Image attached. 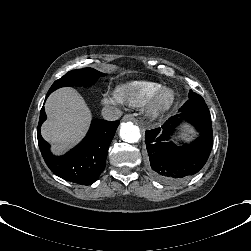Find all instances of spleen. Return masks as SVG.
Returning <instances> with one entry per match:
<instances>
[{
  "label": "spleen",
  "instance_id": "1",
  "mask_svg": "<svg viewBox=\"0 0 251 251\" xmlns=\"http://www.w3.org/2000/svg\"><path fill=\"white\" fill-rule=\"evenodd\" d=\"M197 138L193 137L192 135L188 133H181L176 136H174L171 141L176 145V146H190Z\"/></svg>",
  "mask_w": 251,
  "mask_h": 251
}]
</instances>
